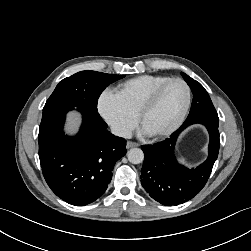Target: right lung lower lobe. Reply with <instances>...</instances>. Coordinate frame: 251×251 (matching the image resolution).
<instances>
[{
  "label": "right lung lower lobe",
  "mask_w": 251,
  "mask_h": 251,
  "mask_svg": "<svg viewBox=\"0 0 251 251\" xmlns=\"http://www.w3.org/2000/svg\"><path fill=\"white\" fill-rule=\"evenodd\" d=\"M77 108L83 123L76 136L63 132L66 113ZM97 110L67 103L43 110L39 158L51 190L71 205L83 206L107 189L115 162L126 154V140L106 130Z\"/></svg>",
  "instance_id": "98d812e1"
}]
</instances>
